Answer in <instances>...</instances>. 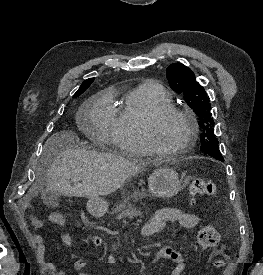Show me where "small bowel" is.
<instances>
[{
	"instance_id": "c3829d8e",
	"label": "small bowel",
	"mask_w": 263,
	"mask_h": 275,
	"mask_svg": "<svg viewBox=\"0 0 263 275\" xmlns=\"http://www.w3.org/2000/svg\"><path fill=\"white\" fill-rule=\"evenodd\" d=\"M63 222L64 220L61 223L56 224L61 225ZM169 222H176L180 227L192 230L199 225L200 218L196 214L188 213L178 208L160 209L156 211L153 216L142 226L141 235L143 237H149L157 232H160ZM33 225L34 227L41 229L44 227V222L41 220H34ZM34 241L37 245V259L42 264L45 271L49 275H66V273L59 269L54 263L45 261L44 255L46 247L42 236L35 235ZM61 241L67 247H72L74 245V240L70 234H63ZM88 241L95 247L103 246V240L98 235L89 236ZM157 255L159 258L171 260L176 264L170 275L182 274L185 268V260L179 252L174 251L169 247H163L158 251ZM86 266L87 263L83 260L74 261V268L77 275H91L85 271Z\"/></svg>"
}]
</instances>
